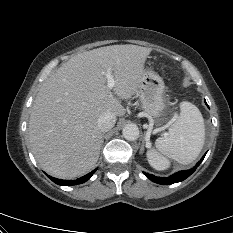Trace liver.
I'll list each match as a JSON object with an SVG mask.
<instances>
[{
  "label": "liver",
  "instance_id": "1",
  "mask_svg": "<svg viewBox=\"0 0 233 233\" xmlns=\"http://www.w3.org/2000/svg\"><path fill=\"white\" fill-rule=\"evenodd\" d=\"M151 48L137 45L100 47L73 56L41 86L29 121L32 152L41 168L63 179L91 171L103 143L100 115L123 116L119 99L139 91ZM111 71L115 85H106Z\"/></svg>",
  "mask_w": 233,
  "mask_h": 233
}]
</instances>
